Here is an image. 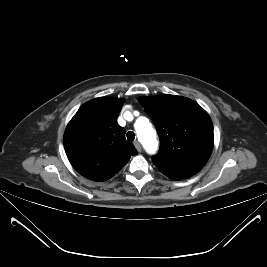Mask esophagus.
Masks as SVG:
<instances>
[{
    "instance_id": "1",
    "label": "esophagus",
    "mask_w": 267,
    "mask_h": 267,
    "mask_svg": "<svg viewBox=\"0 0 267 267\" xmlns=\"http://www.w3.org/2000/svg\"><path fill=\"white\" fill-rule=\"evenodd\" d=\"M135 148L137 149L138 152L142 151V147L141 144L138 141L134 142Z\"/></svg>"
}]
</instances>
